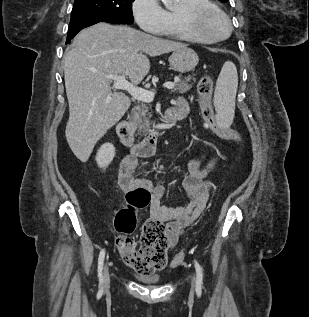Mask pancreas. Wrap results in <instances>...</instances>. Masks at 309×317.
Segmentation results:
<instances>
[{"mask_svg": "<svg viewBox=\"0 0 309 317\" xmlns=\"http://www.w3.org/2000/svg\"><path fill=\"white\" fill-rule=\"evenodd\" d=\"M195 81L196 79L192 76H188L184 79L177 77V81L174 83L175 88L173 92H179L181 94L186 93L192 87L190 81ZM150 110V106L144 102L136 105L131 111V123L138 135H145L148 131V121L151 116H147Z\"/></svg>", "mask_w": 309, "mask_h": 317, "instance_id": "obj_1", "label": "pancreas"}]
</instances>
